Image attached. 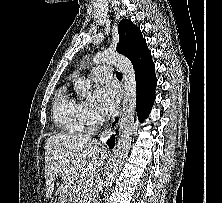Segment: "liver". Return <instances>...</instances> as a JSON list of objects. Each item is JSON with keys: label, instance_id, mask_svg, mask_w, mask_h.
<instances>
[{"label": "liver", "instance_id": "obj_1", "mask_svg": "<svg viewBox=\"0 0 222 203\" xmlns=\"http://www.w3.org/2000/svg\"><path fill=\"white\" fill-rule=\"evenodd\" d=\"M106 150L90 136L56 134L45 143L46 197L51 198L54 182L60 177L61 186L56 194L72 196L74 181L92 182L105 164Z\"/></svg>", "mask_w": 222, "mask_h": 203}]
</instances>
